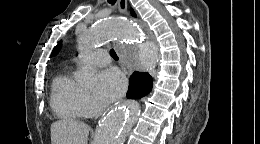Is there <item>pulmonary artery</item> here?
Masks as SVG:
<instances>
[{"instance_id":"e3ab8cb5","label":"pulmonary artery","mask_w":260,"mask_h":144,"mask_svg":"<svg viewBox=\"0 0 260 144\" xmlns=\"http://www.w3.org/2000/svg\"><path fill=\"white\" fill-rule=\"evenodd\" d=\"M85 60L90 61L95 66L104 67L110 63V56L106 50L99 49L85 57Z\"/></svg>"}]
</instances>
